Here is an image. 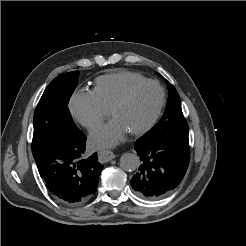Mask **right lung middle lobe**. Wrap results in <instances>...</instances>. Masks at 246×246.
Listing matches in <instances>:
<instances>
[{
  "label": "right lung middle lobe",
  "mask_w": 246,
  "mask_h": 246,
  "mask_svg": "<svg viewBox=\"0 0 246 246\" xmlns=\"http://www.w3.org/2000/svg\"><path fill=\"white\" fill-rule=\"evenodd\" d=\"M78 75V71L59 75L45 89L34 113L32 154L59 137H70L78 132L68 108Z\"/></svg>",
  "instance_id": "right-lung-middle-lobe-1"
}]
</instances>
